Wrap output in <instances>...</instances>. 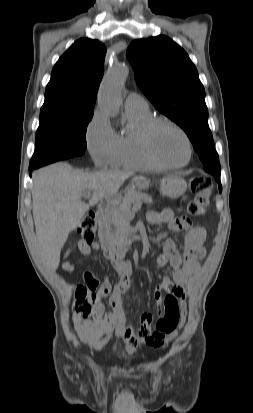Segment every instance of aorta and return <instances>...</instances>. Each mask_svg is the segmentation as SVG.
I'll return each instance as SVG.
<instances>
[{
	"label": "aorta",
	"instance_id": "aorta-1",
	"mask_svg": "<svg viewBox=\"0 0 253 413\" xmlns=\"http://www.w3.org/2000/svg\"><path fill=\"white\" fill-rule=\"evenodd\" d=\"M129 69L124 64L112 66L104 76L98 93L99 108L111 116L118 115L121 104V90Z\"/></svg>",
	"mask_w": 253,
	"mask_h": 413
}]
</instances>
